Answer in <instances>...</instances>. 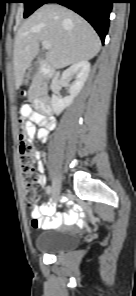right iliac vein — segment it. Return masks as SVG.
Wrapping results in <instances>:
<instances>
[{
  "label": "right iliac vein",
  "instance_id": "63e3f726",
  "mask_svg": "<svg viewBox=\"0 0 136 296\" xmlns=\"http://www.w3.org/2000/svg\"><path fill=\"white\" fill-rule=\"evenodd\" d=\"M61 191V184L58 180H55L52 187V199L56 202L59 199Z\"/></svg>",
  "mask_w": 136,
  "mask_h": 296
}]
</instances>
